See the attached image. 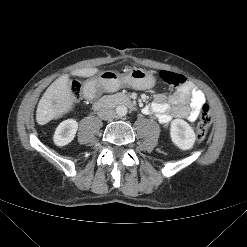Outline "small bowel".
Masks as SVG:
<instances>
[{
  "label": "small bowel",
  "mask_w": 247,
  "mask_h": 247,
  "mask_svg": "<svg viewBox=\"0 0 247 247\" xmlns=\"http://www.w3.org/2000/svg\"><path fill=\"white\" fill-rule=\"evenodd\" d=\"M86 96L92 97L90 87L86 89ZM206 98L204 93L188 82L169 97L163 94H157L153 102L146 106V114L156 117L158 122L164 127H168L173 118H186L188 121H195L204 106Z\"/></svg>",
  "instance_id": "obj_1"
}]
</instances>
